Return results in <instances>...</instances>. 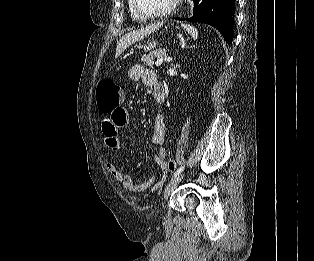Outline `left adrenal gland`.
<instances>
[{"mask_svg": "<svg viewBox=\"0 0 314 261\" xmlns=\"http://www.w3.org/2000/svg\"><path fill=\"white\" fill-rule=\"evenodd\" d=\"M184 47H185V44L182 45V49H184ZM193 47H194V46H193ZM191 48H192V47H191Z\"/></svg>", "mask_w": 314, "mask_h": 261, "instance_id": "a2214340", "label": "left adrenal gland"}]
</instances>
